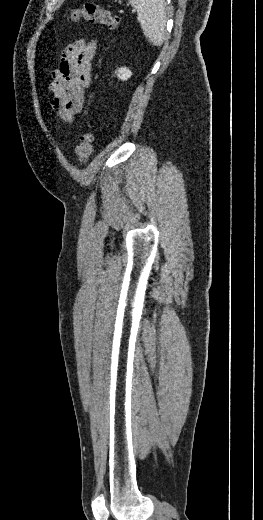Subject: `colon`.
<instances>
[{
  "instance_id": "1",
  "label": "colon",
  "mask_w": 263,
  "mask_h": 520,
  "mask_svg": "<svg viewBox=\"0 0 263 520\" xmlns=\"http://www.w3.org/2000/svg\"><path fill=\"white\" fill-rule=\"evenodd\" d=\"M81 19L95 25H100L110 31H115L120 25V17L96 3H86L81 8H73L67 15V21L78 22ZM93 135L89 131L81 133L76 147L78 163H84L92 154Z\"/></svg>"
}]
</instances>
